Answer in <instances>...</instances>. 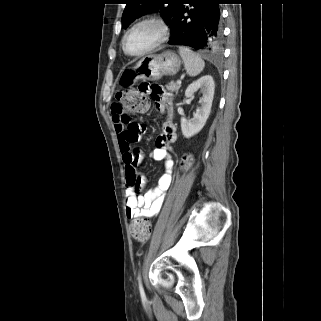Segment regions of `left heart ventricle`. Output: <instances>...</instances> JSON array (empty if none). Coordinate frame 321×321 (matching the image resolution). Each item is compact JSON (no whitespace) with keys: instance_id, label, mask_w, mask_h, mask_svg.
Here are the masks:
<instances>
[{"instance_id":"1","label":"left heart ventricle","mask_w":321,"mask_h":321,"mask_svg":"<svg viewBox=\"0 0 321 321\" xmlns=\"http://www.w3.org/2000/svg\"><path fill=\"white\" fill-rule=\"evenodd\" d=\"M158 37V30L152 24L135 28L127 37L126 46L130 53H138L149 47Z\"/></svg>"}]
</instances>
